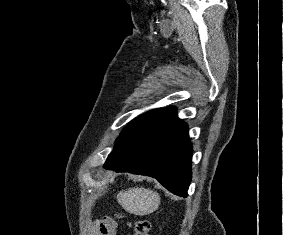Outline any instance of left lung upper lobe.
<instances>
[{"instance_id":"5c2ea615","label":"left lung upper lobe","mask_w":283,"mask_h":235,"mask_svg":"<svg viewBox=\"0 0 283 235\" xmlns=\"http://www.w3.org/2000/svg\"><path fill=\"white\" fill-rule=\"evenodd\" d=\"M162 110L155 109L149 111L138 118L134 119L129 125L121 132L119 138L116 140L115 148H118L134 131H136L139 127H141L146 121L152 118L154 115L159 113ZM112 153V152H111Z\"/></svg>"}]
</instances>
